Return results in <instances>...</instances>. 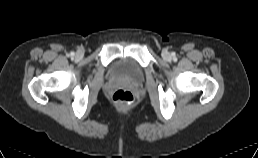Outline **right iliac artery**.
<instances>
[{"label": "right iliac artery", "instance_id": "1", "mask_svg": "<svg viewBox=\"0 0 258 158\" xmlns=\"http://www.w3.org/2000/svg\"><path fill=\"white\" fill-rule=\"evenodd\" d=\"M74 55H75V53H74V52H71V53H70V56H71V57H73Z\"/></svg>", "mask_w": 258, "mask_h": 158}]
</instances>
